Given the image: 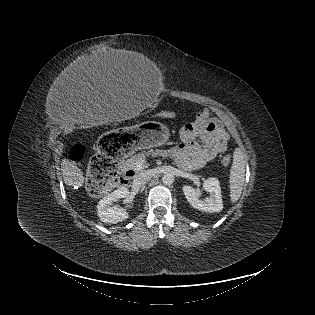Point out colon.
I'll list each match as a JSON object with an SVG mask.
<instances>
[{"label": "colon", "instance_id": "obj_1", "mask_svg": "<svg viewBox=\"0 0 315 315\" xmlns=\"http://www.w3.org/2000/svg\"><path fill=\"white\" fill-rule=\"evenodd\" d=\"M163 118H172L174 113L164 112L161 114ZM84 148L81 145H76L71 151V159L75 162L80 161L84 156ZM231 158L225 155L221 159L224 166H228ZM117 177V159L116 157H107L102 153L95 155L88 169V188L94 195H100L105 192L115 181Z\"/></svg>", "mask_w": 315, "mask_h": 315}]
</instances>
